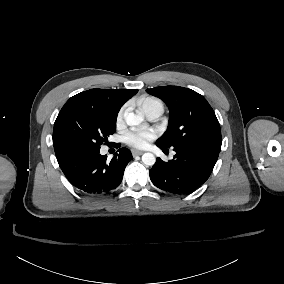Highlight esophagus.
I'll list each match as a JSON object with an SVG mask.
<instances>
[{
  "label": "esophagus",
  "instance_id": "esophagus-1",
  "mask_svg": "<svg viewBox=\"0 0 284 284\" xmlns=\"http://www.w3.org/2000/svg\"><path fill=\"white\" fill-rule=\"evenodd\" d=\"M143 153H144L143 151H139V150H136V149L132 150L133 156L142 155Z\"/></svg>",
  "mask_w": 284,
  "mask_h": 284
}]
</instances>
